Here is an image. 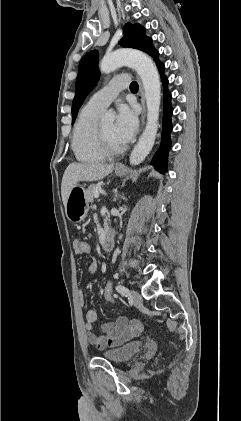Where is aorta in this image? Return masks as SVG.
Here are the masks:
<instances>
[{
    "label": "aorta",
    "instance_id": "1",
    "mask_svg": "<svg viewBox=\"0 0 241 421\" xmlns=\"http://www.w3.org/2000/svg\"><path fill=\"white\" fill-rule=\"evenodd\" d=\"M122 65H128L136 70L142 80L145 93L146 127L129 158L131 165H138L150 153L155 142L160 111L161 83L158 71L151 58L142 51L135 49H119L106 55L100 63V71L107 74ZM102 120L113 122L114 116L106 114Z\"/></svg>",
    "mask_w": 241,
    "mask_h": 421
}]
</instances>
